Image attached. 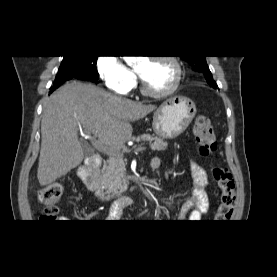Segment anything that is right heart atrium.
Masks as SVG:
<instances>
[{
  "instance_id": "d8ad5b80",
  "label": "right heart atrium",
  "mask_w": 277,
  "mask_h": 277,
  "mask_svg": "<svg viewBox=\"0 0 277 277\" xmlns=\"http://www.w3.org/2000/svg\"><path fill=\"white\" fill-rule=\"evenodd\" d=\"M97 70L105 86L110 90L124 93L136 84L134 72L115 53L101 55L97 60Z\"/></svg>"
}]
</instances>
